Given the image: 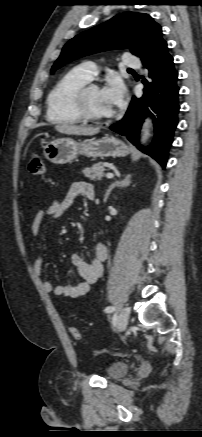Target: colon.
I'll list each match as a JSON object with an SVG mask.
<instances>
[{"instance_id": "obj_1", "label": "colon", "mask_w": 202, "mask_h": 437, "mask_svg": "<svg viewBox=\"0 0 202 437\" xmlns=\"http://www.w3.org/2000/svg\"><path fill=\"white\" fill-rule=\"evenodd\" d=\"M28 167L31 174L42 175L45 171L43 158L38 153H33L29 159ZM69 332L74 339H81V333L75 326H71Z\"/></svg>"}]
</instances>
